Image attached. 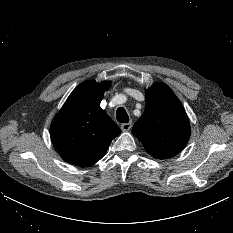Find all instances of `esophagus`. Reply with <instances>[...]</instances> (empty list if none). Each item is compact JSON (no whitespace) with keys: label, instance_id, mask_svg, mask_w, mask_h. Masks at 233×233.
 <instances>
[{"label":"esophagus","instance_id":"esophagus-1","mask_svg":"<svg viewBox=\"0 0 233 233\" xmlns=\"http://www.w3.org/2000/svg\"><path fill=\"white\" fill-rule=\"evenodd\" d=\"M132 127V123L131 122H128V123H123L121 125V129L122 131H129Z\"/></svg>","mask_w":233,"mask_h":233}]
</instances>
